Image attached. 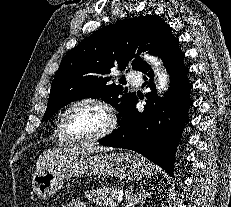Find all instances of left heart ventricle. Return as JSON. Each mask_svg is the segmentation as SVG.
<instances>
[{
	"label": "left heart ventricle",
	"mask_w": 231,
	"mask_h": 207,
	"mask_svg": "<svg viewBox=\"0 0 231 207\" xmlns=\"http://www.w3.org/2000/svg\"><path fill=\"white\" fill-rule=\"evenodd\" d=\"M68 124L74 135L86 137L104 129L107 125V117L100 107L90 103H82L70 111Z\"/></svg>",
	"instance_id": "1"
}]
</instances>
